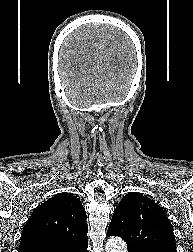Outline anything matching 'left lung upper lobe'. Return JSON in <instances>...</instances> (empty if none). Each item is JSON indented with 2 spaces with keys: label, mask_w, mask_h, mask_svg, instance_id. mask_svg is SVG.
<instances>
[{
  "label": "left lung upper lobe",
  "mask_w": 193,
  "mask_h": 252,
  "mask_svg": "<svg viewBox=\"0 0 193 252\" xmlns=\"http://www.w3.org/2000/svg\"><path fill=\"white\" fill-rule=\"evenodd\" d=\"M107 235L122 237L128 252H177L172 225L164 210L137 192L116 207Z\"/></svg>",
  "instance_id": "5c2ea615"
}]
</instances>
